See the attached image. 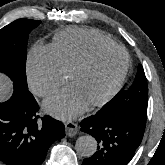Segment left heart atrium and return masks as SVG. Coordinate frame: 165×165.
I'll return each mask as SVG.
<instances>
[{"label": "left heart atrium", "mask_w": 165, "mask_h": 165, "mask_svg": "<svg viewBox=\"0 0 165 165\" xmlns=\"http://www.w3.org/2000/svg\"><path fill=\"white\" fill-rule=\"evenodd\" d=\"M87 106L88 102L74 86L57 91L44 101V109L60 119L75 118Z\"/></svg>", "instance_id": "1"}]
</instances>
